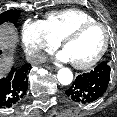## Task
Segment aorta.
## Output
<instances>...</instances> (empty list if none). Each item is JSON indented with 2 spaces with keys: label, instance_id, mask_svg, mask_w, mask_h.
I'll return each instance as SVG.
<instances>
[{
  "label": "aorta",
  "instance_id": "762f6f07",
  "mask_svg": "<svg viewBox=\"0 0 117 117\" xmlns=\"http://www.w3.org/2000/svg\"><path fill=\"white\" fill-rule=\"evenodd\" d=\"M57 78L60 84L69 85L73 80L72 71L69 68H61L58 71Z\"/></svg>",
  "mask_w": 117,
  "mask_h": 117
}]
</instances>
